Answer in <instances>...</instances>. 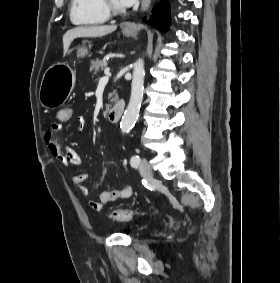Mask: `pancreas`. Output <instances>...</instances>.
<instances>
[{"label":"pancreas","mask_w":280,"mask_h":283,"mask_svg":"<svg viewBox=\"0 0 280 283\" xmlns=\"http://www.w3.org/2000/svg\"><path fill=\"white\" fill-rule=\"evenodd\" d=\"M107 64L108 63L105 59H103V60L96 59V60L91 62L90 71H93L94 74H97L100 71H102L107 66ZM112 96H114V97L111 99V102H116L118 100V95L116 93V90L112 91L109 94L108 99H110ZM108 108H109V105L106 104V110Z\"/></svg>","instance_id":"obj_1"}]
</instances>
